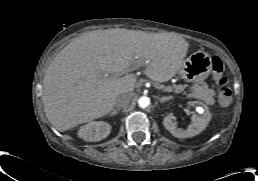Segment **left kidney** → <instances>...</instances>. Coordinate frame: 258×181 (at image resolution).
Instances as JSON below:
<instances>
[{
    "label": "left kidney",
    "instance_id": "5707ae66",
    "mask_svg": "<svg viewBox=\"0 0 258 181\" xmlns=\"http://www.w3.org/2000/svg\"><path fill=\"white\" fill-rule=\"evenodd\" d=\"M189 105L196 107L197 114L192 115V125H190L186 130L178 128L175 125L172 113L168 114L163 120L165 128L177 138H190L198 135L206 128L211 120V113L204 103L192 101L189 102Z\"/></svg>",
    "mask_w": 258,
    "mask_h": 181
}]
</instances>
